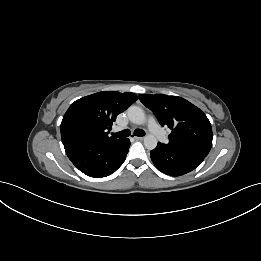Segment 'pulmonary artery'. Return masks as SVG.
I'll use <instances>...</instances> for the list:
<instances>
[{
	"mask_svg": "<svg viewBox=\"0 0 261 261\" xmlns=\"http://www.w3.org/2000/svg\"><path fill=\"white\" fill-rule=\"evenodd\" d=\"M148 128L150 132L161 142L166 140L164 132L159 127L158 123L153 117H149L148 119Z\"/></svg>",
	"mask_w": 261,
	"mask_h": 261,
	"instance_id": "1",
	"label": "pulmonary artery"
}]
</instances>
